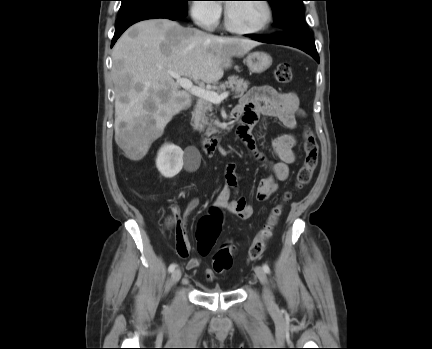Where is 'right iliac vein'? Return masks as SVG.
<instances>
[{"mask_svg": "<svg viewBox=\"0 0 432 349\" xmlns=\"http://www.w3.org/2000/svg\"><path fill=\"white\" fill-rule=\"evenodd\" d=\"M181 278V270L179 268L175 269L171 275V281L176 284Z\"/></svg>", "mask_w": 432, "mask_h": 349, "instance_id": "1", "label": "right iliac vein"}]
</instances>
